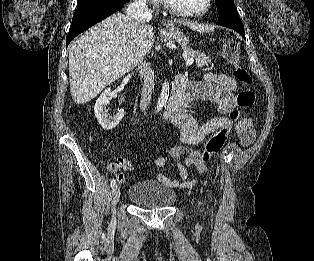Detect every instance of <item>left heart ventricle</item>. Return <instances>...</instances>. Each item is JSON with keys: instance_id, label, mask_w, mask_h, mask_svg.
I'll return each mask as SVG.
<instances>
[{"instance_id": "left-heart-ventricle-1", "label": "left heart ventricle", "mask_w": 314, "mask_h": 261, "mask_svg": "<svg viewBox=\"0 0 314 261\" xmlns=\"http://www.w3.org/2000/svg\"><path fill=\"white\" fill-rule=\"evenodd\" d=\"M176 7L186 11H199L205 6L206 0H170Z\"/></svg>"}]
</instances>
